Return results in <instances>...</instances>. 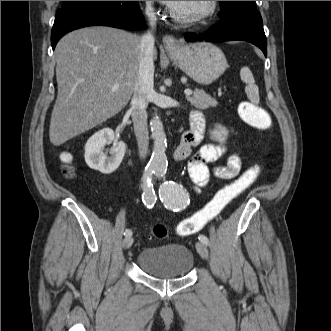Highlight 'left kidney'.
Masks as SVG:
<instances>
[{
    "mask_svg": "<svg viewBox=\"0 0 331 331\" xmlns=\"http://www.w3.org/2000/svg\"><path fill=\"white\" fill-rule=\"evenodd\" d=\"M210 134L213 140L223 143L227 138L228 131L225 127L217 125L216 128L210 132Z\"/></svg>",
    "mask_w": 331,
    "mask_h": 331,
    "instance_id": "5707ae66",
    "label": "left kidney"
}]
</instances>
